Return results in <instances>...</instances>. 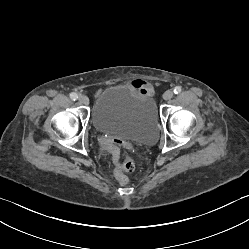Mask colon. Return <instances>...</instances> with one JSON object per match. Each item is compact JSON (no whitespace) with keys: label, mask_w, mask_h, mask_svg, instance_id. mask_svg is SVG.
Here are the masks:
<instances>
[{"label":"colon","mask_w":249,"mask_h":249,"mask_svg":"<svg viewBox=\"0 0 249 249\" xmlns=\"http://www.w3.org/2000/svg\"><path fill=\"white\" fill-rule=\"evenodd\" d=\"M101 147L103 149L112 151L114 160L116 162V168H115L116 179L122 185L127 184L128 177L126 176V173L132 172L135 168V163L133 159L128 155H124L123 159L121 161H118V158L120 157V150L115 145L103 142L101 144Z\"/></svg>","instance_id":"obj_1"}]
</instances>
